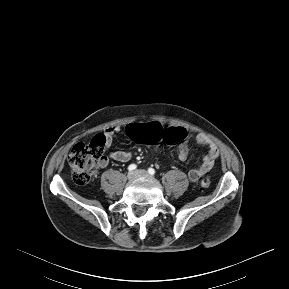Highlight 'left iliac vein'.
<instances>
[{
	"label": "left iliac vein",
	"mask_w": 289,
	"mask_h": 289,
	"mask_svg": "<svg viewBox=\"0 0 289 289\" xmlns=\"http://www.w3.org/2000/svg\"><path fill=\"white\" fill-rule=\"evenodd\" d=\"M136 174L138 177H150L149 173L146 170H137Z\"/></svg>",
	"instance_id": "obj_1"
}]
</instances>
